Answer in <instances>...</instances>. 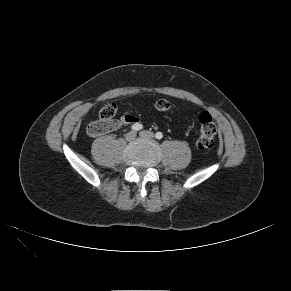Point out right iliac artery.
Returning <instances> with one entry per match:
<instances>
[{
	"mask_svg": "<svg viewBox=\"0 0 291 291\" xmlns=\"http://www.w3.org/2000/svg\"><path fill=\"white\" fill-rule=\"evenodd\" d=\"M142 128H143V125L140 124V123H135V124H133V125L131 126V129H132L133 131H139V130H141Z\"/></svg>",
	"mask_w": 291,
	"mask_h": 291,
	"instance_id": "1",
	"label": "right iliac artery"
}]
</instances>
